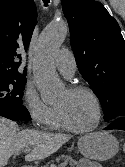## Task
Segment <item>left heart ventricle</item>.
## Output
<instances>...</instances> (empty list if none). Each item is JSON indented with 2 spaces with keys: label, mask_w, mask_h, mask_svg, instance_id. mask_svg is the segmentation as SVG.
I'll return each instance as SVG.
<instances>
[{
  "label": "left heart ventricle",
  "mask_w": 125,
  "mask_h": 167,
  "mask_svg": "<svg viewBox=\"0 0 125 167\" xmlns=\"http://www.w3.org/2000/svg\"><path fill=\"white\" fill-rule=\"evenodd\" d=\"M56 106L64 112L69 122L77 128H87L96 121V105L88 94H71L66 90L57 100Z\"/></svg>",
  "instance_id": "obj_1"
}]
</instances>
